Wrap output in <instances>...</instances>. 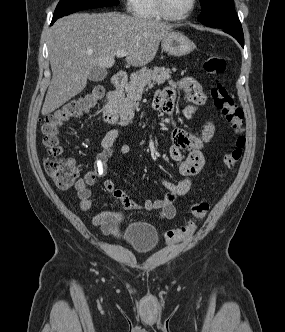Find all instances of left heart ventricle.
Wrapping results in <instances>:
<instances>
[{
    "label": "left heart ventricle",
    "mask_w": 285,
    "mask_h": 332,
    "mask_svg": "<svg viewBox=\"0 0 285 332\" xmlns=\"http://www.w3.org/2000/svg\"><path fill=\"white\" fill-rule=\"evenodd\" d=\"M167 8L172 15L184 14L191 5V0H166Z\"/></svg>",
    "instance_id": "1"
}]
</instances>
